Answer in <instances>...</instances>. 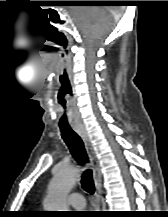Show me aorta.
I'll return each mask as SVG.
<instances>
[{
	"label": "aorta",
	"mask_w": 168,
	"mask_h": 217,
	"mask_svg": "<svg viewBox=\"0 0 168 217\" xmlns=\"http://www.w3.org/2000/svg\"><path fill=\"white\" fill-rule=\"evenodd\" d=\"M78 179V171L74 167L59 169L48 186L44 201L46 211H68L66 198Z\"/></svg>",
	"instance_id": "aorta-1"
}]
</instances>
